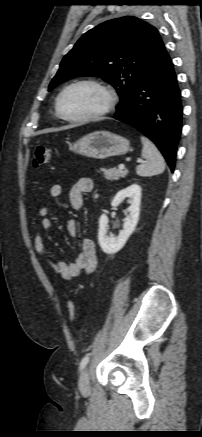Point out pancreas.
Returning <instances> with one entry per match:
<instances>
[{"label":"pancreas","instance_id":"pancreas-1","mask_svg":"<svg viewBox=\"0 0 202 437\" xmlns=\"http://www.w3.org/2000/svg\"><path fill=\"white\" fill-rule=\"evenodd\" d=\"M101 171L104 174V178L107 180H118L119 178H124L127 174V170H120L117 168H101Z\"/></svg>","mask_w":202,"mask_h":437}]
</instances>
